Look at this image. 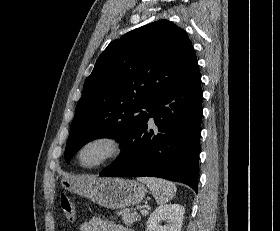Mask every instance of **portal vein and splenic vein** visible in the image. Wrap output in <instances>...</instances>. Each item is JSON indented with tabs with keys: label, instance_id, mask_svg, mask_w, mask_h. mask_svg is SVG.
Listing matches in <instances>:
<instances>
[{
	"label": "portal vein and splenic vein",
	"instance_id": "obj_1",
	"mask_svg": "<svg viewBox=\"0 0 280 231\" xmlns=\"http://www.w3.org/2000/svg\"><path fill=\"white\" fill-rule=\"evenodd\" d=\"M141 213H142V215H147L148 211H147V209H141Z\"/></svg>",
	"mask_w": 280,
	"mask_h": 231
}]
</instances>
